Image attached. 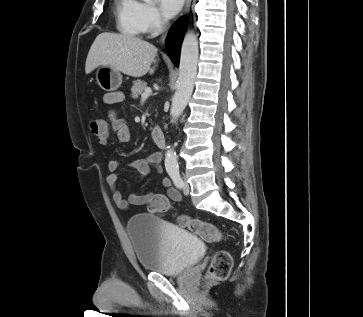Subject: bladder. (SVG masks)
Wrapping results in <instances>:
<instances>
[{
  "instance_id": "bladder-1",
  "label": "bladder",
  "mask_w": 363,
  "mask_h": 317,
  "mask_svg": "<svg viewBox=\"0 0 363 317\" xmlns=\"http://www.w3.org/2000/svg\"><path fill=\"white\" fill-rule=\"evenodd\" d=\"M127 233L139 265L165 275H178L190 269L203 256L201 237L149 215L133 216Z\"/></svg>"
}]
</instances>
